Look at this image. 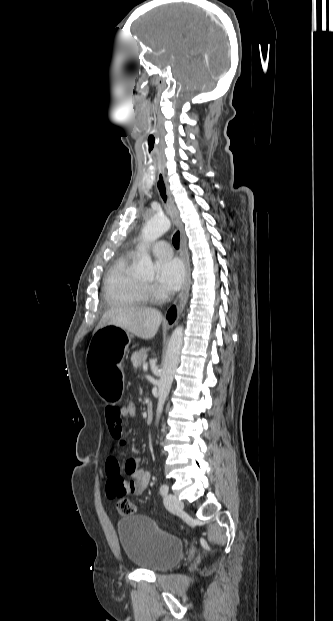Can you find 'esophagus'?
<instances>
[{
	"label": "esophagus",
	"instance_id": "1",
	"mask_svg": "<svg viewBox=\"0 0 333 621\" xmlns=\"http://www.w3.org/2000/svg\"><path fill=\"white\" fill-rule=\"evenodd\" d=\"M156 189L165 206L167 213L169 214V216L171 217V219L173 220V222L175 223L176 227L178 228L180 232L181 256H182V259L186 267L184 288L182 292L180 293L178 300L173 305H171L170 308L168 309L165 319H164V325L173 326L177 322L188 300L189 289H190V284H191V276H190L191 269H190L189 255H188V250H187V245H186V236H185V232L183 229V224L180 220L179 211L174 205L168 185L164 179V175L160 171L157 173Z\"/></svg>",
	"mask_w": 333,
	"mask_h": 621
}]
</instances>
